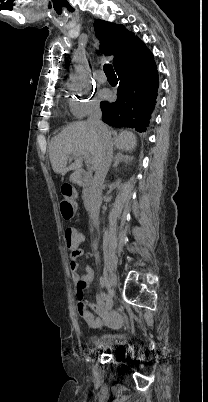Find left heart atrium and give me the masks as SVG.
Masks as SVG:
<instances>
[{"mask_svg":"<svg viewBox=\"0 0 208 402\" xmlns=\"http://www.w3.org/2000/svg\"><path fill=\"white\" fill-rule=\"evenodd\" d=\"M111 96H112V93H111V91H110L108 88L103 87V88L100 90V97H101L102 99L107 100V99H110Z\"/></svg>","mask_w":208,"mask_h":402,"instance_id":"1","label":"left heart atrium"}]
</instances>
